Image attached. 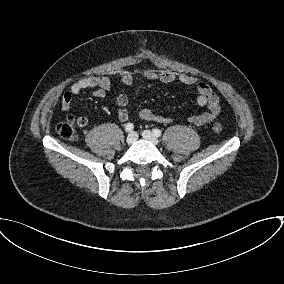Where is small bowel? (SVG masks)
I'll return each instance as SVG.
<instances>
[{
  "mask_svg": "<svg viewBox=\"0 0 284 284\" xmlns=\"http://www.w3.org/2000/svg\"><path fill=\"white\" fill-rule=\"evenodd\" d=\"M144 76L151 80H157L161 83L168 84L173 82H179L185 86L194 87L197 91L196 103L199 107H205L207 111L193 115L189 118V122L195 126H201L211 123L220 114V99L217 94L211 89V87L197 78L185 75L176 74L168 70H146ZM119 79L124 85H131L133 83V76L129 72H122L119 75ZM112 81L106 76H89L82 78L74 82L69 89L62 96V109L65 112L71 110L72 100L75 96L79 95L86 89L92 90V95L97 98H102L106 95V92L111 88ZM117 103V118L121 122H125L129 118L128 112V97L126 94H119L116 99ZM141 119L149 122H156L161 124L171 123V119L159 114H156L148 108H143L139 112ZM88 121L85 117H79L77 124L79 127H85Z\"/></svg>",
  "mask_w": 284,
  "mask_h": 284,
  "instance_id": "small-bowel-1",
  "label": "small bowel"
}]
</instances>
